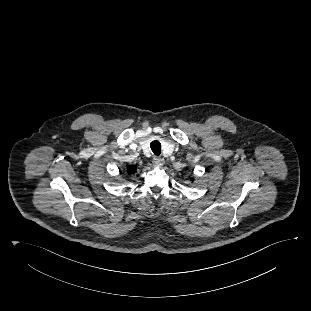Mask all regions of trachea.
<instances>
[{"label": "trachea", "mask_w": 311, "mask_h": 311, "mask_svg": "<svg viewBox=\"0 0 311 311\" xmlns=\"http://www.w3.org/2000/svg\"><path fill=\"white\" fill-rule=\"evenodd\" d=\"M150 147H151V150L153 151V153L155 155H157V156L160 155V153H161V144H160L159 141H152L150 143Z\"/></svg>", "instance_id": "3493384b"}]
</instances>
